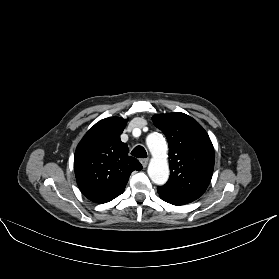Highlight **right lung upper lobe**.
Masks as SVG:
<instances>
[{
    "label": "right lung upper lobe",
    "instance_id": "1",
    "mask_svg": "<svg viewBox=\"0 0 279 279\" xmlns=\"http://www.w3.org/2000/svg\"><path fill=\"white\" fill-rule=\"evenodd\" d=\"M127 120L110 117L96 123L78 144L74 169L81 192L91 201L106 203L125 190L130 174L141 163L128 155L120 140Z\"/></svg>",
    "mask_w": 279,
    "mask_h": 279
}]
</instances>
